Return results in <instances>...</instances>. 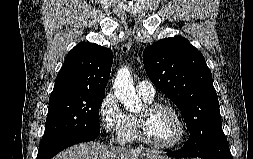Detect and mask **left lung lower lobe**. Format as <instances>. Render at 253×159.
I'll return each instance as SVG.
<instances>
[{
	"mask_svg": "<svg viewBox=\"0 0 253 159\" xmlns=\"http://www.w3.org/2000/svg\"><path fill=\"white\" fill-rule=\"evenodd\" d=\"M198 139H189L184 146L174 152H169L171 157H200L203 159H233L229 150L227 139L222 130L204 145Z\"/></svg>",
	"mask_w": 253,
	"mask_h": 159,
	"instance_id": "left-lung-lower-lobe-1",
	"label": "left lung lower lobe"
}]
</instances>
